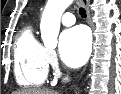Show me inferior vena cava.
<instances>
[{
    "label": "inferior vena cava",
    "instance_id": "602c4592",
    "mask_svg": "<svg viewBox=\"0 0 121 94\" xmlns=\"http://www.w3.org/2000/svg\"><path fill=\"white\" fill-rule=\"evenodd\" d=\"M69 81V78L68 77H65L64 79H63V82H68Z\"/></svg>",
    "mask_w": 121,
    "mask_h": 94
}]
</instances>
